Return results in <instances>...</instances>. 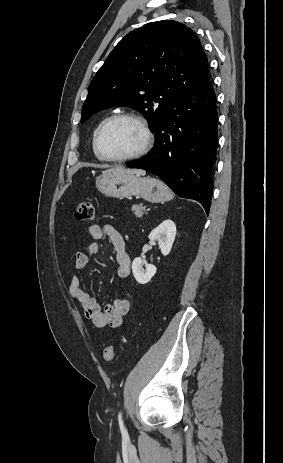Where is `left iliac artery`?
Masks as SVG:
<instances>
[{
    "label": "left iliac artery",
    "instance_id": "44dca946",
    "mask_svg": "<svg viewBox=\"0 0 283 463\" xmlns=\"http://www.w3.org/2000/svg\"><path fill=\"white\" fill-rule=\"evenodd\" d=\"M118 421H119V426H120V430H121V433L124 437H127L128 436V433H127V430L125 428V425H124V422H123V419H122V413L119 412L118 414Z\"/></svg>",
    "mask_w": 283,
    "mask_h": 463
}]
</instances>
